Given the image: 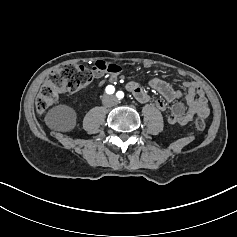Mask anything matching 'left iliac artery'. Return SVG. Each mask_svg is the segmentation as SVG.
<instances>
[{"label": "left iliac artery", "instance_id": "44dca946", "mask_svg": "<svg viewBox=\"0 0 237 237\" xmlns=\"http://www.w3.org/2000/svg\"><path fill=\"white\" fill-rule=\"evenodd\" d=\"M116 96L121 99V98L124 97V93H123L122 91H118V92L116 93Z\"/></svg>", "mask_w": 237, "mask_h": 237}]
</instances>
